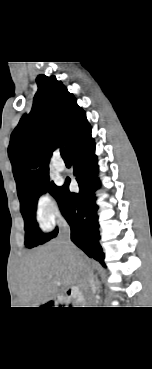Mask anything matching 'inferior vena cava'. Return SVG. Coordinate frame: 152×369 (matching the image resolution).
I'll list each match as a JSON object with an SVG mask.
<instances>
[{"mask_svg": "<svg viewBox=\"0 0 152 369\" xmlns=\"http://www.w3.org/2000/svg\"><path fill=\"white\" fill-rule=\"evenodd\" d=\"M70 227L64 219L59 220V234L58 239L64 245L67 252L74 255L77 262L82 268V278L80 282V291L82 299L85 302L86 307H94V294L96 291L94 276L92 271L84 264L81 257L76 254V247L70 240Z\"/></svg>", "mask_w": 152, "mask_h": 369, "instance_id": "obj_1", "label": "inferior vena cava"}]
</instances>
